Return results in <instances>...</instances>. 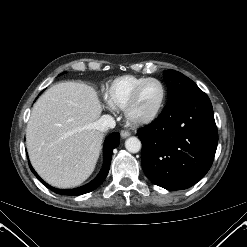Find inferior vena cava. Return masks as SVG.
I'll return each mask as SVG.
<instances>
[{
    "label": "inferior vena cava",
    "mask_w": 247,
    "mask_h": 247,
    "mask_svg": "<svg viewBox=\"0 0 247 247\" xmlns=\"http://www.w3.org/2000/svg\"><path fill=\"white\" fill-rule=\"evenodd\" d=\"M115 125V120L110 115H102L101 118L95 123L96 129L100 132H106L109 129H113Z\"/></svg>",
    "instance_id": "inferior-vena-cava-1"
}]
</instances>
